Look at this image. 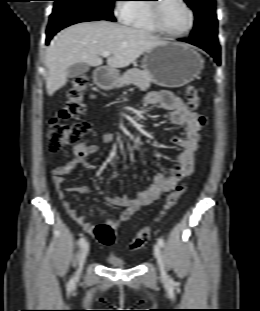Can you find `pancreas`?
Returning <instances> with one entry per match:
<instances>
[{
	"mask_svg": "<svg viewBox=\"0 0 260 311\" xmlns=\"http://www.w3.org/2000/svg\"><path fill=\"white\" fill-rule=\"evenodd\" d=\"M129 84L137 86L141 91H146L151 85V79H149L141 70L133 68L127 70L116 81L118 88Z\"/></svg>",
	"mask_w": 260,
	"mask_h": 311,
	"instance_id": "cf45deb5",
	"label": "pancreas"
}]
</instances>
